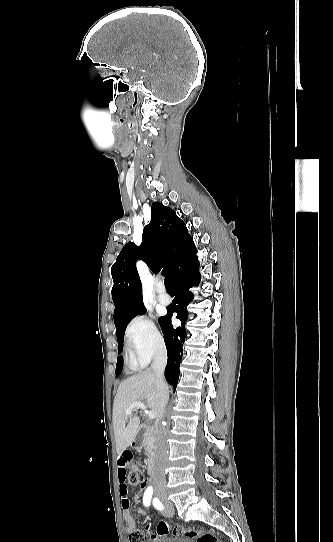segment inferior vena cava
<instances>
[{"label": "inferior vena cava", "mask_w": 333, "mask_h": 542, "mask_svg": "<svg viewBox=\"0 0 333 542\" xmlns=\"http://www.w3.org/2000/svg\"><path fill=\"white\" fill-rule=\"evenodd\" d=\"M167 364V352L165 348H159L154 354L153 362L151 364L152 372L155 378L156 392L158 396L157 412L159 418L156 424V456L154 466L149 474L150 482L154 486L155 492L159 488H165V468L167 462V440H166V428L162 424L164 418V410L169 398L168 386L164 378V370Z\"/></svg>", "instance_id": "inferior-vena-cava-1"}]
</instances>
